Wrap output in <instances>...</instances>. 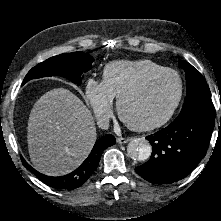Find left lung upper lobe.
I'll return each instance as SVG.
<instances>
[{
    "instance_id": "left-lung-upper-lobe-1",
    "label": "left lung upper lobe",
    "mask_w": 221,
    "mask_h": 221,
    "mask_svg": "<svg viewBox=\"0 0 221 221\" xmlns=\"http://www.w3.org/2000/svg\"><path fill=\"white\" fill-rule=\"evenodd\" d=\"M179 64L186 73L187 89V96L179 115L196 106L214 107L211 100L210 90L201 73L183 60H180Z\"/></svg>"
}]
</instances>
